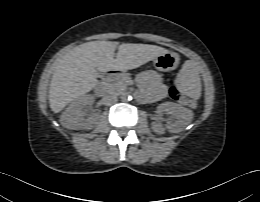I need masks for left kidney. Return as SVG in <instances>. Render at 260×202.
Returning a JSON list of instances; mask_svg holds the SVG:
<instances>
[{"label": "left kidney", "mask_w": 260, "mask_h": 202, "mask_svg": "<svg viewBox=\"0 0 260 202\" xmlns=\"http://www.w3.org/2000/svg\"><path fill=\"white\" fill-rule=\"evenodd\" d=\"M157 109L159 113H167L174 119L173 121H169L166 127L161 123L153 122L151 128L157 134H163L165 129L171 133H178L182 131L193 118L191 110L173 102L162 103Z\"/></svg>", "instance_id": "left-kidney-1"}]
</instances>
